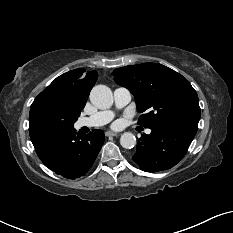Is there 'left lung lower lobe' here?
<instances>
[{"mask_svg":"<svg viewBox=\"0 0 233 233\" xmlns=\"http://www.w3.org/2000/svg\"><path fill=\"white\" fill-rule=\"evenodd\" d=\"M137 143L133 156L140 169L146 172L167 170L186 154L197 128L186 125H160L151 128Z\"/></svg>","mask_w":233,"mask_h":233,"instance_id":"1","label":"left lung lower lobe"}]
</instances>
